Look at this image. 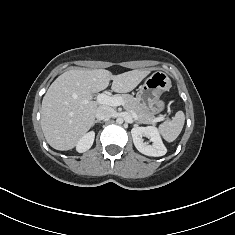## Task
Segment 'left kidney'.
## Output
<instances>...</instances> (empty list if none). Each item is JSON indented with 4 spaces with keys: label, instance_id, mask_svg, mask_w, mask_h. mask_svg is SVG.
Wrapping results in <instances>:
<instances>
[{
    "label": "left kidney",
    "instance_id": "left-kidney-1",
    "mask_svg": "<svg viewBox=\"0 0 235 235\" xmlns=\"http://www.w3.org/2000/svg\"><path fill=\"white\" fill-rule=\"evenodd\" d=\"M133 143L136 149L144 155L159 157L166 154L167 149L160 137L159 131L154 126L134 127L131 130ZM150 139L152 145L143 142V138Z\"/></svg>",
    "mask_w": 235,
    "mask_h": 235
}]
</instances>
